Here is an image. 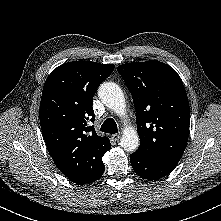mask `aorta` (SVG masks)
I'll return each instance as SVG.
<instances>
[{
    "label": "aorta",
    "instance_id": "obj_1",
    "mask_svg": "<svg viewBox=\"0 0 221 221\" xmlns=\"http://www.w3.org/2000/svg\"><path fill=\"white\" fill-rule=\"evenodd\" d=\"M102 103L118 115L125 113L126 103L122 89L113 82H104L98 89ZM139 136L135 129L125 128L121 137V147L127 152H133L139 147Z\"/></svg>",
    "mask_w": 221,
    "mask_h": 221
}]
</instances>
